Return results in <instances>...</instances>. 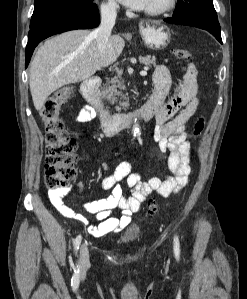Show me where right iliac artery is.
Instances as JSON below:
<instances>
[{
    "instance_id": "82829eb1",
    "label": "right iliac artery",
    "mask_w": 247,
    "mask_h": 299,
    "mask_svg": "<svg viewBox=\"0 0 247 299\" xmlns=\"http://www.w3.org/2000/svg\"><path fill=\"white\" fill-rule=\"evenodd\" d=\"M81 240H82V237L81 235L77 236L76 239L74 240V250L77 252L78 249H79V246L81 244ZM76 273H79V269L76 271Z\"/></svg>"
}]
</instances>
